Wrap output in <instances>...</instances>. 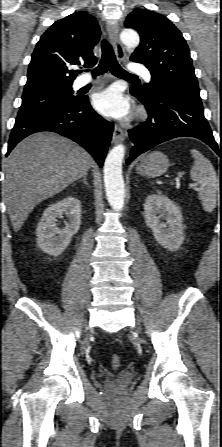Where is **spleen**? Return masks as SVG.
<instances>
[{
    "instance_id": "1",
    "label": "spleen",
    "mask_w": 222,
    "mask_h": 447,
    "mask_svg": "<svg viewBox=\"0 0 222 447\" xmlns=\"http://www.w3.org/2000/svg\"><path fill=\"white\" fill-rule=\"evenodd\" d=\"M194 163L190 170L193 181L199 185V197L205 211L212 212L216 207L219 178L211 162L199 151L190 150Z\"/></svg>"
}]
</instances>
